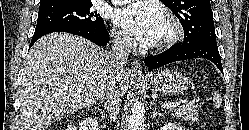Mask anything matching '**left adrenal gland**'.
<instances>
[{
    "instance_id": "1",
    "label": "left adrenal gland",
    "mask_w": 249,
    "mask_h": 130,
    "mask_svg": "<svg viewBox=\"0 0 249 130\" xmlns=\"http://www.w3.org/2000/svg\"><path fill=\"white\" fill-rule=\"evenodd\" d=\"M154 104V103H153ZM156 116H163L162 113H160L159 111H157V105L154 104V108H153V112H152V117L156 118Z\"/></svg>"
}]
</instances>
